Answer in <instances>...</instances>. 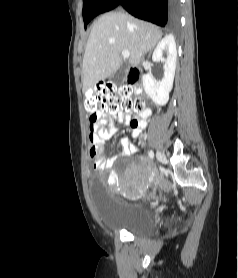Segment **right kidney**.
Returning a JSON list of instances; mask_svg holds the SVG:
<instances>
[{
	"label": "right kidney",
	"instance_id": "right-kidney-1",
	"mask_svg": "<svg viewBox=\"0 0 238 278\" xmlns=\"http://www.w3.org/2000/svg\"><path fill=\"white\" fill-rule=\"evenodd\" d=\"M164 50H167L168 56L164 64V77L162 81H156L150 74L143 76L144 90L157 105H165L168 102L169 93L173 87L177 50L175 39L172 35L165 36L158 43L152 55L153 62L164 61Z\"/></svg>",
	"mask_w": 238,
	"mask_h": 278
}]
</instances>
